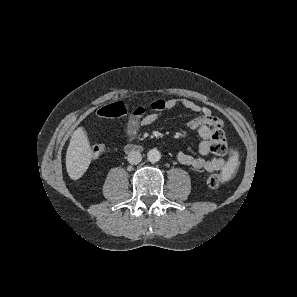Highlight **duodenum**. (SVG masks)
<instances>
[{
	"mask_svg": "<svg viewBox=\"0 0 297 297\" xmlns=\"http://www.w3.org/2000/svg\"><path fill=\"white\" fill-rule=\"evenodd\" d=\"M139 150V147L136 146V145H128L126 147V151L129 152V153H133V152H136Z\"/></svg>",
	"mask_w": 297,
	"mask_h": 297,
	"instance_id": "obj_1",
	"label": "duodenum"
}]
</instances>
